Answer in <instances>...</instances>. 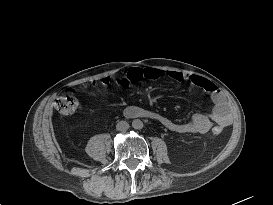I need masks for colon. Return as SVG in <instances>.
I'll list each match as a JSON object with an SVG mask.
<instances>
[{
    "instance_id": "obj_1",
    "label": "colon",
    "mask_w": 273,
    "mask_h": 205,
    "mask_svg": "<svg viewBox=\"0 0 273 205\" xmlns=\"http://www.w3.org/2000/svg\"><path fill=\"white\" fill-rule=\"evenodd\" d=\"M144 79L145 74L142 69H132L128 72V80L130 83L141 82ZM55 109L63 115L74 114L79 109V102L74 95L66 93L56 99ZM221 132L222 129L220 127L216 126L212 129L214 135H219Z\"/></svg>"
}]
</instances>
